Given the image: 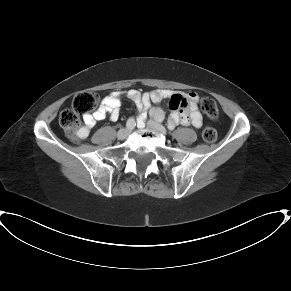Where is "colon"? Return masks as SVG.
<instances>
[{
  "mask_svg": "<svg viewBox=\"0 0 291 291\" xmlns=\"http://www.w3.org/2000/svg\"><path fill=\"white\" fill-rule=\"evenodd\" d=\"M98 94L92 90L81 91L77 93L69 108L62 110L59 116V124L65 130L66 135L75 143L79 142V117L89 114L98 104ZM187 103H183L186 107ZM171 110L177 109V101L169 102ZM200 107L204 113L212 119H216L219 115V109L215 100L211 97H204L200 100ZM203 140L212 143L216 140L217 133L212 127H206L202 132Z\"/></svg>",
  "mask_w": 291,
  "mask_h": 291,
  "instance_id": "1",
  "label": "colon"
}]
</instances>
